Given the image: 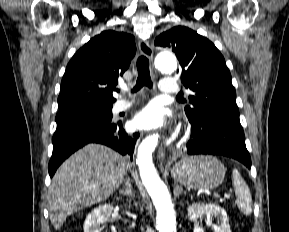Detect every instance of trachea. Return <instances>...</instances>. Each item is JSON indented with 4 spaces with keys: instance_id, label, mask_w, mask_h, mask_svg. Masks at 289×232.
I'll list each match as a JSON object with an SVG mask.
<instances>
[{
    "instance_id": "3493384b",
    "label": "trachea",
    "mask_w": 289,
    "mask_h": 232,
    "mask_svg": "<svg viewBox=\"0 0 289 232\" xmlns=\"http://www.w3.org/2000/svg\"><path fill=\"white\" fill-rule=\"evenodd\" d=\"M137 70H138V78L136 81V85L133 88L132 92H137L143 86L148 88H152L153 84L151 81L150 71H149V60L145 56H140L137 59Z\"/></svg>"
}]
</instances>
